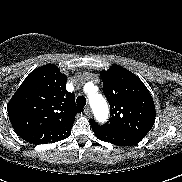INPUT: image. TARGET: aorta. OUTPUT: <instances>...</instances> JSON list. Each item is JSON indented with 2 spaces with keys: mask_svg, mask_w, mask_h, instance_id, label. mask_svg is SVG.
<instances>
[{
  "mask_svg": "<svg viewBox=\"0 0 182 182\" xmlns=\"http://www.w3.org/2000/svg\"><path fill=\"white\" fill-rule=\"evenodd\" d=\"M89 102L93 109L94 116L99 122H105L108 118L109 108L105 98L98 93L89 94Z\"/></svg>",
  "mask_w": 182,
  "mask_h": 182,
  "instance_id": "aorta-1",
  "label": "aorta"
}]
</instances>
